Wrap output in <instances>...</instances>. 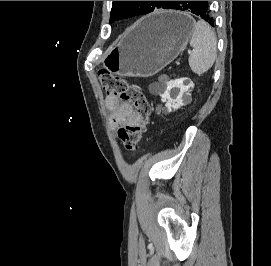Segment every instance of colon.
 Instances as JSON below:
<instances>
[{"instance_id":"obj_1","label":"colon","mask_w":271,"mask_h":266,"mask_svg":"<svg viewBox=\"0 0 271 266\" xmlns=\"http://www.w3.org/2000/svg\"><path fill=\"white\" fill-rule=\"evenodd\" d=\"M98 78L107 94L128 101L135 107L139 122L135 125L122 126L117 133L118 140L124 149L133 151L142 140L152 112L147 96L137 85L129 83L107 69L99 70Z\"/></svg>"}]
</instances>
